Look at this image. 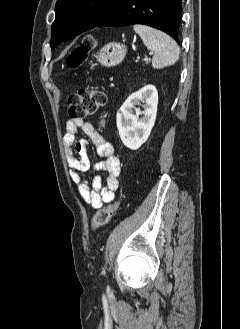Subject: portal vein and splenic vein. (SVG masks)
<instances>
[{
	"label": "portal vein and splenic vein",
	"mask_w": 240,
	"mask_h": 329,
	"mask_svg": "<svg viewBox=\"0 0 240 329\" xmlns=\"http://www.w3.org/2000/svg\"><path fill=\"white\" fill-rule=\"evenodd\" d=\"M151 54H152V53H150V55H151ZM144 60H145V61H148V58H145Z\"/></svg>",
	"instance_id": "18ae733b"
}]
</instances>
